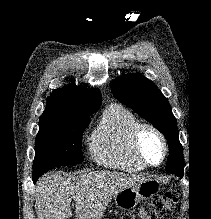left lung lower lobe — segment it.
<instances>
[{"instance_id":"0a47b994","label":"left lung lower lobe","mask_w":211,"mask_h":219,"mask_svg":"<svg viewBox=\"0 0 211 219\" xmlns=\"http://www.w3.org/2000/svg\"><path fill=\"white\" fill-rule=\"evenodd\" d=\"M182 154L175 149H169V160L168 165H171L175 168H178V171L180 173V176L183 175L184 170V164H183V158Z\"/></svg>"}]
</instances>
